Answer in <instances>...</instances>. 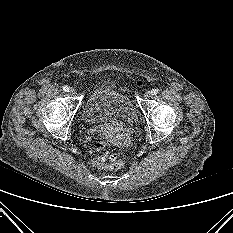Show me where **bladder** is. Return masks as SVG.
Returning <instances> with one entry per match:
<instances>
[{
    "label": "bladder",
    "instance_id": "31cf9c89",
    "mask_svg": "<svg viewBox=\"0 0 233 233\" xmlns=\"http://www.w3.org/2000/svg\"><path fill=\"white\" fill-rule=\"evenodd\" d=\"M82 118L88 124L131 125L137 111L132 100L111 87L94 90L86 100Z\"/></svg>",
    "mask_w": 233,
    "mask_h": 233
}]
</instances>
